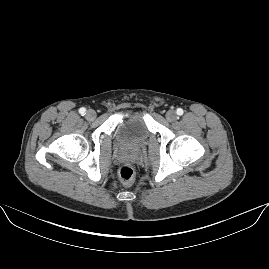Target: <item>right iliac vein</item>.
<instances>
[{"label": "right iliac vein", "instance_id": "obj_1", "mask_svg": "<svg viewBox=\"0 0 269 269\" xmlns=\"http://www.w3.org/2000/svg\"><path fill=\"white\" fill-rule=\"evenodd\" d=\"M85 118L90 121L94 120L96 118V112L92 109L87 110Z\"/></svg>", "mask_w": 269, "mask_h": 269}]
</instances>
